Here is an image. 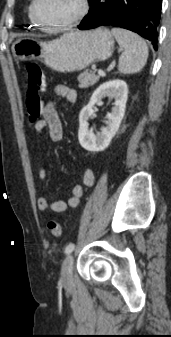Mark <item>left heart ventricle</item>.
Segmentation results:
<instances>
[{
	"mask_svg": "<svg viewBox=\"0 0 171 337\" xmlns=\"http://www.w3.org/2000/svg\"><path fill=\"white\" fill-rule=\"evenodd\" d=\"M79 9V0H39L37 5L40 19L51 26L69 21Z\"/></svg>",
	"mask_w": 171,
	"mask_h": 337,
	"instance_id": "obj_1",
	"label": "left heart ventricle"
}]
</instances>
